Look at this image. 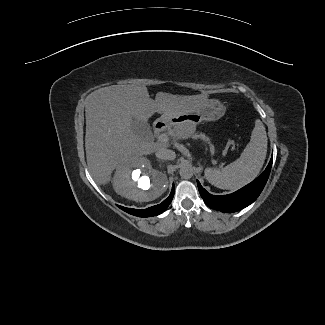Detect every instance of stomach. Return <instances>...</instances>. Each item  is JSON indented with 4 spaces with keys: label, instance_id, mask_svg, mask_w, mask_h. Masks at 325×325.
<instances>
[{
    "label": "stomach",
    "instance_id": "obj_1",
    "mask_svg": "<svg viewBox=\"0 0 325 325\" xmlns=\"http://www.w3.org/2000/svg\"><path fill=\"white\" fill-rule=\"evenodd\" d=\"M226 111V107L217 99H210L200 104L190 112L177 116L162 115L160 120L168 124L197 125L202 121H216Z\"/></svg>",
    "mask_w": 325,
    "mask_h": 325
}]
</instances>
